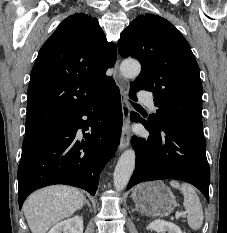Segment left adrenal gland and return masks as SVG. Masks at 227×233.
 <instances>
[{
  "label": "left adrenal gland",
  "mask_w": 227,
  "mask_h": 233,
  "mask_svg": "<svg viewBox=\"0 0 227 233\" xmlns=\"http://www.w3.org/2000/svg\"><path fill=\"white\" fill-rule=\"evenodd\" d=\"M133 211H138V209H137V208H135V209H133Z\"/></svg>",
  "instance_id": "left-adrenal-gland-1"
}]
</instances>
